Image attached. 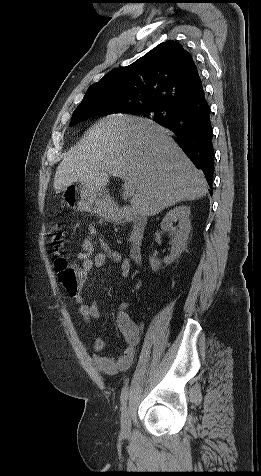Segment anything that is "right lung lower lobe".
Listing matches in <instances>:
<instances>
[{
  "mask_svg": "<svg viewBox=\"0 0 261 476\" xmlns=\"http://www.w3.org/2000/svg\"><path fill=\"white\" fill-rule=\"evenodd\" d=\"M210 113V106L203 91L193 102L177 108L169 117L156 121L175 134L177 144L196 168L204 172L208 183H212L214 173Z\"/></svg>",
  "mask_w": 261,
  "mask_h": 476,
  "instance_id": "1",
  "label": "right lung lower lobe"
}]
</instances>
